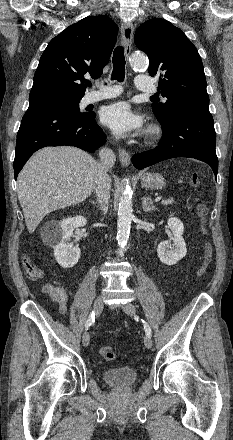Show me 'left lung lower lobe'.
Returning <instances> with one entry per match:
<instances>
[{"instance_id":"obj_1","label":"left lung lower lobe","mask_w":233,"mask_h":440,"mask_svg":"<svg viewBox=\"0 0 233 440\" xmlns=\"http://www.w3.org/2000/svg\"><path fill=\"white\" fill-rule=\"evenodd\" d=\"M162 131V139L155 149L132 157L136 168L143 169L170 158L188 157L209 164L217 175L216 133L209 109L183 108L168 124L162 125Z\"/></svg>"}]
</instances>
